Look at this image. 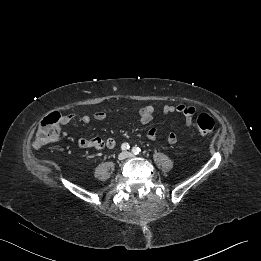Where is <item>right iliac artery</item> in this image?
Instances as JSON below:
<instances>
[{"instance_id":"82829eb1","label":"right iliac artery","mask_w":261,"mask_h":261,"mask_svg":"<svg viewBox=\"0 0 261 261\" xmlns=\"http://www.w3.org/2000/svg\"><path fill=\"white\" fill-rule=\"evenodd\" d=\"M129 148H130V146H129L128 143H123V144L121 145V149H122L123 151H127Z\"/></svg>"}]
</instances>
